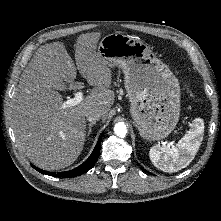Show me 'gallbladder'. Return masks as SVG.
<instances>
[{
    "label": "gallbladder",
    "instance_id": "bac80fb5",
    "mask_svg": "<svg viewBox=\"0 0 221 221\" xmlns=\"http://www.w3.org/2000/svg\"><path fill=\"white\" fill-rule=\"evenodd\" d=\"M56 88H57V89H63V88H64V85L58 83L57 86H56Z\"/></svg>",
    "mask_w": 221,
    "mask_h": 221
}]
</instances>
